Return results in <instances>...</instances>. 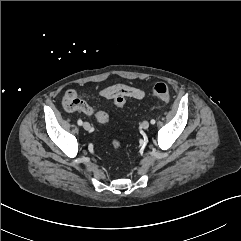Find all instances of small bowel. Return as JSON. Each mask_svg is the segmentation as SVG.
Masks as SVG:
<instances>
[{
    "label": "small bowel",
    "mask_w": 241,
    "mask_h": 241,
    "mask_svg": "<svg viewBox=\"0 0 241 241\" xmlns=\"http://www.w3.org/2000/svg\"><path fill=\"white\" fill-rule=\"evenodd\" d=\"M115 87H123L127 90L126 97L136 100L143 99L145 97V91L130 85L125 84H116L113 86H108L100 90L99 94L105 99H113V96L110 94V91ZM63 107L68 112L81 111L89 116H94L98 118V114L102 111L96 109L89 104L88 100L78 94L75 89H68L62 99Z\"/></svg>",
    "instance_id": "obj_1"
}]
</instances>
